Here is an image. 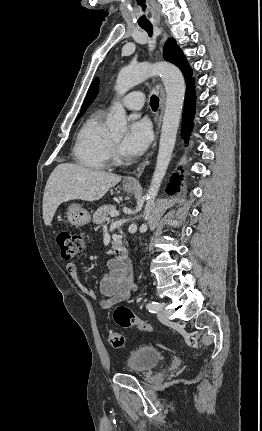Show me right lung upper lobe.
Masks as SVG:
<instances>
[{
	"label": "right lung upper lobe",
	"instance_id": "1",
	"mask_svg": "<svg viewBox=\"0 0 262 431\" xmlns=\"http://www.w3.org/2000/svg\"><path fill=\"white\" fill-rule=\"evenodd\" d=\"M98 79H96L92 85L90 86L86 98L83 102L82 108H81V112L80 115H83L84 112L86 111V109L89 107V105L93 102V100L95 99V97L97 96L98 93Z\"/></svg>",
	"mask_w": 262,
	"mask_h": 431
}]
</instances>
